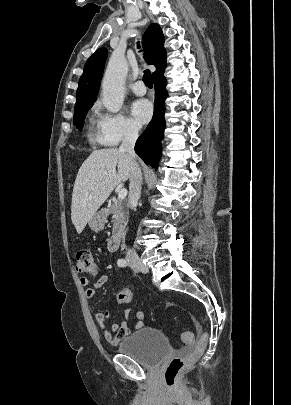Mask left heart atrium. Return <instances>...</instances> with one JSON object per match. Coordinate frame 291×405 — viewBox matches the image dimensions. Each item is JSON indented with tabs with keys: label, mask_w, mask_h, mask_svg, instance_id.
<instances>
[{
	"label": "left heart atrium",
	"mask_w": 291,
	"mask_h": 405,
	"mask_svg": "<svg viewBox=\"0 0 291 405\" xmlns=\"http://www.w3.org/2000/svg\"><path fill=\"white\" fill-rule=\"evenodd\" d=\"M152 111V105L146 99L136 100L131 107L133 118L140 124L146 123L151 118Z\"/></svg>",
	"instance_id": "1"
}]
</instances>
